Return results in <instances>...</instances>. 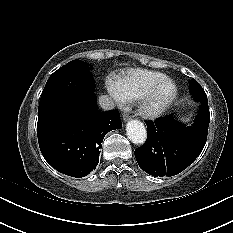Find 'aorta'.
I'll use <instances>...</instances> for the list:
<instances>
[{
  "mask_svg": "<svg viewBox=\"0 0 233 233\" xmlns=\"http://www.w3.org/2000/svg\"><path fill=\"white\" fill-rule=\"evenodd\" d=\"M126 132L129 139L136 145L146 141L147 131L144 124L138 120H130L126 125Z\"/></svg>",
  "mask_w": 233,
  "mask_h": 233,
  "instance_id": "762f6f07",
  "label": "aorta"
}]
</instances>
